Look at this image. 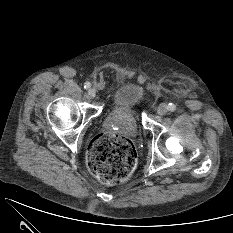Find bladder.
Returning a JSON list of instances; mask_svg holds the SVG:
<instances>
[{
	"label": "bladder",
	"instance_id": "1",
	"mask_svg": "<svg viewBox=\"0 0 233 233\" xmlns=\"http://www.w3.org/2000/svg\"><path fill=\"white\" fill-rule=\"evenodd\" d=\"M145 97V89L136 82H126L119 86L113 96V103L118 108L127 109L131 115V131L136 132L137 121L134 108L139 105Z\"/></svg>",
	"mask_w": 233,
	"mask_h": 233
}]
</instances>
